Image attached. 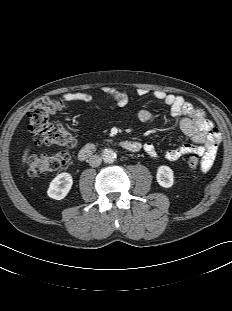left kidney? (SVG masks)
Here are the masks:
<instances>
[{
  "instance_id": "obj_1",
  "label": "left kidney",
  "mask_w": 232,
  "mask_h": 311,
  "mask_svg": "<svg viewBox=\"0 0 232 311\" xmlns=\"http://www.w3.org/2000/svg\"><path fill=\"white\" fill-rule=\"evenodd\" d=\"M156 178L158 184L165 188L171 187L174 182L172 169L165 165L158 167Z\"/></svg>"
}]
</instances>
